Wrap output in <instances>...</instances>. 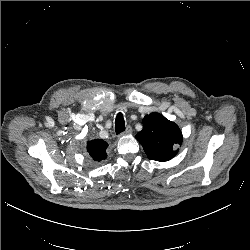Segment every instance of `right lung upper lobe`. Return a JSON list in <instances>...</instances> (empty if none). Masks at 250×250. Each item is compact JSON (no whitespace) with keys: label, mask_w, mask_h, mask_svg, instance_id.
I'll return each mask as SVG.
<instances>
[{"label":"right lung upper lobe","mask_w":250,"mask_h":250,"mask_svg":"<svg viewBox=\"0 0 250 250\" xmlns=\"http://www.w3.org/2000/svg\"><path fill=\"white\" fill-rule=\"evenodd\" d=\"M108 143L102 139H95L89 141L87 144V151L93 160L100 162L107 158L106 148Z\"/></svg>","instance_id":"right-lung-upper-lobe-1"}]
</instances>
